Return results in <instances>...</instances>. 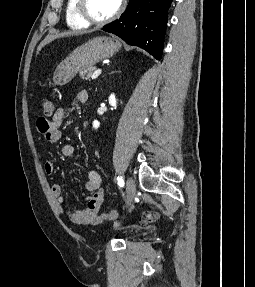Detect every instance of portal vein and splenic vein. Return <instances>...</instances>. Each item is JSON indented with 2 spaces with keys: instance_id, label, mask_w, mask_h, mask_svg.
<instances>
[{
  "instance_id": "obj_1",
  "label": "portal vein and splenic vein",
  "mask_w": 255,
  "mask_h": 287,
  "mask_svg": "<svg viewBox=\"0 0 255 287\" xmlns=\"http://www.w3.org/2000/svg\"><path fill=\"white\" fill-rule=\"evenodd\" d=\"M102 70H96V72H93L91 78L92 80H96V78H98V76H100Z\"/></svg>"
}]
</instances>
